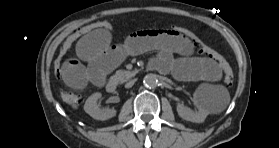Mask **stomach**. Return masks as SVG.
Returning a JSON list of instances; mask_svg holds the SVG:
<instances>
[{"label":"stomach","mask_w":279,"mask_h":148,"mask_svg":"<svg viewBox=\"0 0 279 148\" xmlns=\"http://www.w3.org/2000/svg\"><path fill=\"white\" fill-rule=\"evenodd\" d=\"M134 27L140 31H160L166 27L167 21L163 15L157 13L140 14L134 18Z\"/></svg>","instance_id":"stomach-1"}]
</instances>
